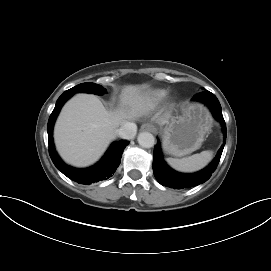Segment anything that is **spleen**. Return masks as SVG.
<instances>
[{"label":"spleen","mask_w":271,"mask_h":271,"mask_svg":"<svg viewBox=\"0 0 271 271\" xmlns=\"http://www.w3.org/2000/svg\"><path fill=\"white\" fill-rule=\"evenodd\" d=\"M212 157L213 152L207 150L182 159L166 158V162L177 171L195 172L204 168Z\"/></svg>","instance_id":"3e777b00"}]
</instances>
